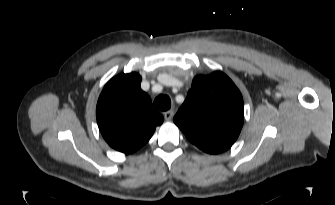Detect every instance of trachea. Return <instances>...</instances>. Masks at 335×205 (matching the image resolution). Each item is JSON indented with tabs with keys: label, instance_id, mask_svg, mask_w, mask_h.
<instances>
[{
	"label": "trachea",
	"instance_id": "1",
	"mask_svg": "<svg viewBox=\"0 0 335 205\" xmlns=\"http://www.w3.org/2000/svg\"><path fill=\"white\" fill-rule=\"evenodd\" d=\"M154 105L160 111H167L171 107V100L168 95H159L154 100Z\"/></svg>",
	"mask_w": 335,
	"mask_h": 205
}]
</instances>
